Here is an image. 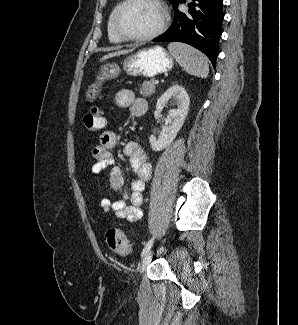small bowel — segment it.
Listing matches in <instances>:
<instances>
[{
	"label": "small bowel",
	"instance_id": "1",
	"mask_svg": "<svg viewBox=\"0 0 298 325\" xmlns=\"http://www.w3.org/2000/svg\"><path fill=\"white\" fill-rule=\"evenodd\" d=\"M115 101L119 107H130L134 115H136V108L140 104H146L143 99L136 98L134 93L128 89L118 91L115 95ZM117 142V135L113 131H104L100 135L99 144L92 150V156L95 160L92 173L99 175L104 169L110 168V187L123 193L122 198L114 202L108 198H102L100 201L101 209L104 212L113 211L118 219L135 222L142 217V193L151 177L152 167L147 160V154L142 144L137 139L129 141L124 148V154L130 159L134 178L130 184V191L125 192L123 172L112 153Z\"/></svg>",
	"mask_w": 298,
	"mask_h": 325
}]
</instances>
